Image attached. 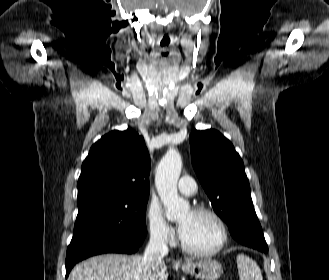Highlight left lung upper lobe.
Returning <instances> with one entry per match:
<instances>
[{"mask_svg": "<svg viewBox=\"0 0 329 280\" xmlns=\"http://www.w3.org/2000/svg\"><path fill=\"white\" fill-rule=\"evenodd\" d=\"M189 141L194 170L214 211L227 223L230 232L238 226L246 227L256 213L243 161L232 143L213 129H194ZM260 241L254 235L239 240L242 244Z\"/></svg>", "mask_w": 329, "mask_h": 280, "instance_id": "5c2ea615", "label": "left lung upper lobe"}]
</instances>
